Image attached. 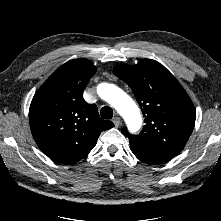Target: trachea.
<instances>
[{
	"mask_svg": "<svg viewBox=\"0 0 221 221\" xmlns=\"http://www.w3.org/2000/svg\"><path fill=\"white\" fill-rule=\"evenodd\" d=\"M100 115L104 119H111L113 117V110L109 106H104L100 111Z\"/></svg>",
	"mask_w": 221,
	"mask_h": 221,
	"instance_id": "trachea-1",
	"label": "trachea"
}]
</instances>
